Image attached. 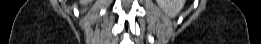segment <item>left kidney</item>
I'll return each mask as SVG.
<instances>
[{
	"label": "left kidney",
	"mask_w": 261,
	"mask_h": 44,
	"mask_svg": "<svg viewBox=\"0 0 261 44\" xmlns=\"http://www.w3.org/2000/svg\"><path fill=\"white\" fill-rule=\"evenodd\" d=\"M156 2L170 17H175L184 5V0H156Z\"/></svg>",
	"instance_id": "left-kidney-1"
}]
</instances>
